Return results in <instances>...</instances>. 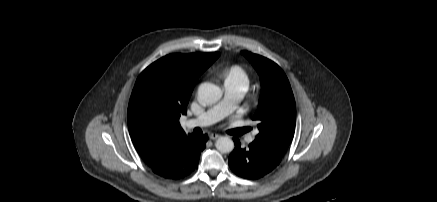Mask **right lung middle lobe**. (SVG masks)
I'll return each mask as SVG.
<instances>
[{
  "instance_id": "1",
  "label": "right lung middle lobe",
  "mask_w": 437,
  "mask_h": 202,
  "mask_svg": "<svg viewBox=\"0 0 437 202\" xmlns=\"http://www.w3.org/2000/svg\"><path fill=\"white\" fill-rule=\"evenodd\" d=\"M164 76L165 72L160 68L150 70L144 75L134 93L132 92L136 108L148 113H155L159 110L157 95L164 81Z\"/></svg>"
}]
</instances>
